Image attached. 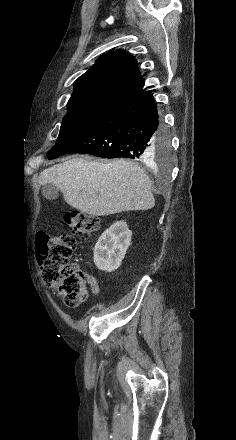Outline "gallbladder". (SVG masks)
Returning <instances> with one entry per match:
<instances>
[{
    "mask_svg": "<svg viewBox=\"0 0 236 440\" xmlns=\"http://www.w3.org/2000/svg\"><path fill=\"white\" fill-rule=\"evenodd\" d=\"M59 189L51 183L42 186V194L47 200H55L59 197Z\"/></svg>",
    "mask_w": 236,
    "mask_h": 440,
    "instance_id": "obj_1",
    "label": "gallbladder"
}]
</instances>
